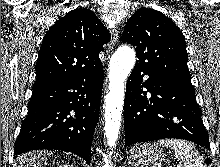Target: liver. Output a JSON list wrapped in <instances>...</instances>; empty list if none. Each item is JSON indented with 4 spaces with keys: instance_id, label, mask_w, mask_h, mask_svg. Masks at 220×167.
Segmentation results:
<instances>
[{
    "instance_id": "6515ba94",
    "label": "liver",
    "mask_w": 220,
    "mask_h": 167,
    "mask_svg": "<svg viewBox=\"0 0 220 167\" xmlns=\"http://www.w3.org/2000/svg\"><path fill=\"white\" fill-rule=\"evenodd\" d=\"M49 155L48 151H34L20 155L14 167H43V162H46Z\"/></svg>"
}]
</instances>
